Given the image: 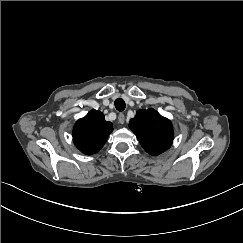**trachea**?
Masks as SVG:
<instances>
[{"label": "trachea", "instance_id": "obj_1", "mask_svg": "<svg viewBox=\"0 0 243 243\" xmlns=\"http://www.w3.org/2000/svg\"><path fill=\"white\" fill-rule=\"evenodd\" d=\"M114 104L116 110H118L119 112H122L126 107L125 101L122 98H117Z\"/></svg>", "mask_w": 243, "mask_h": 243}]
</instances>
